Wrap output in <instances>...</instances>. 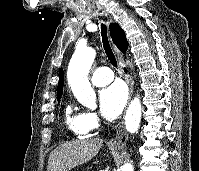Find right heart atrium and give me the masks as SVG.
I'll use <instances>...</instances> for the list:
<instances>
[{
	"instance_id": "right-heart-atrium-1",
	"label": "right heart atrium",
	"mask_w": 199,
	"mask_h": 171,
	"mask_svg": "<svg viewBox=\"0 0 199 171\" xmlns=\"http://www.w3.org/2000/svg\"><path fill=\"white\" fill-rule=\"evenodd\" d=\"M82 122L87 132L94 131L100 126L98 115L92 111H86L82 114Z\"/></svg>"
}]
</instances>
